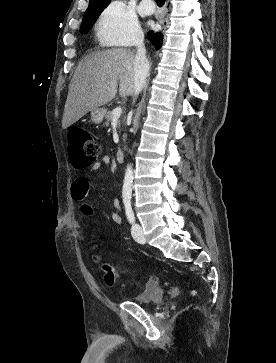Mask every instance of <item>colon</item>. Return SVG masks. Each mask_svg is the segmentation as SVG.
Returning <instances> with one entry per match:
<instances>
[{
    "instance_id": "colon-1",
    "label": "colon",
    "mask_w": 276,
    "mask_h": 363,
    "mask_svg": "<svg viewBox=\"0 0 276 363\" xmlns=\"http://www.w3.org/2000/svg\"><path fill=\"white\" fill-rule=\"evenodd\" d=\"M68 151L72 164L76 168H85L95 163L100 155V147L95 139L84 129L76 128L70 131L68 141ZM96 262H99L105 271L104 280L108 286L115 285L118 279V270L113 263L107 259L103 251L93 256ZM150 285L156 284V280L152 279ZM191 294H195V290L191 287Z\"/></svg>"
}]
</instances>
